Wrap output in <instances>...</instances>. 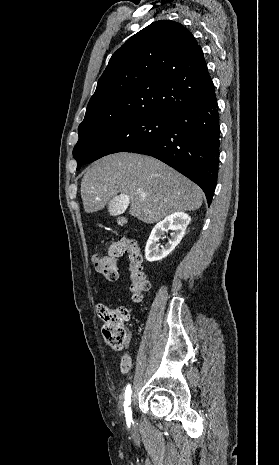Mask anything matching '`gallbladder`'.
Segmentation results:
<instances>
[{
  "label": "gallbladder",
  "mask_w": 279,
  "mask_h": 465,
  "mask_svg": "<svg viewBox=\"0 0 279 465\" xmlns=\"http://www.w3.org/2000/svg\"><path fill=\"white\" fill-rule=\"evenodd\" d=\"M128 206V200L123 196L114 197L109 203V211L113 216L121 215L124 213Z\"/></svg>",
  "instance_id": "bac80fb5"
}]
</instances>
